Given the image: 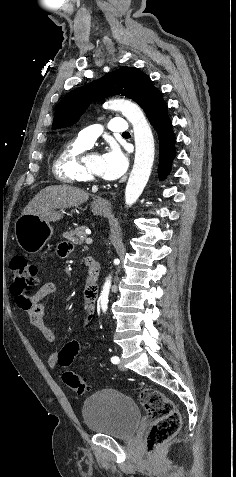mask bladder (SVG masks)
<instances>
[{
  "label": "bladder",
  "instance_id": "1",
  "mask_svg": "<svg viewBox=\"0 0 236 477\" xmlns=\"http://www.w3.org/2000/svg\"><path fill=\"white\" fill-rule=\"evenodd\" d=\"M81 412L89 432L117 439H131L141 420L140 409L132 398L112 388L92 394Z\"/></svg>",
  "mask_w": 236,
  "mask_h": 477
}]
</instances>
